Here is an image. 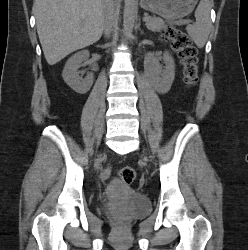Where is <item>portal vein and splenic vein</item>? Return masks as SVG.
<instances>
[{
    "label": "portal vein and splenic vein",
    "instance_id": "portal-vein-and-splenic-vein-1",
    "mask_svg": "<svg viewBox=\"0 0 248 250\" xmlns=\"http://www.w3.org/2000/svg\"><path fill=\"white\" fill-rule=\"evenodd\" d=\"M149 20V17L148 16H145L144 18H143V21H148ZM191 21L190 20H187V21H181L180 23H184V24H189Z\"/></svg>",
    "mask_w": 248,
    "mask_h": 250
}]
</instances>
